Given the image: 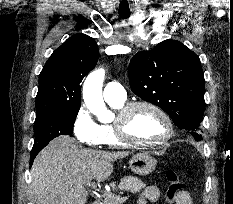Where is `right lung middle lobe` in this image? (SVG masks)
<instances>
[{
    "instance_id": "right-lung-middle-lobe-1",
    "label": "right lung middle lobe",
    "mask_w": 233,
    "mask_h": 204,
    "mask_svg": "<svg viewBox=\"0 0 233 204\" xmlns=\"http://www.w3.org/2000/svg\"><path fill=\"white\" fill-rule=\"evenodd\" d=\"M79 108L54 110L36 114L34 123L35 147H45L59 135H72ZM33 146V147H34Z\"/></svg>"
}]
</instances>
